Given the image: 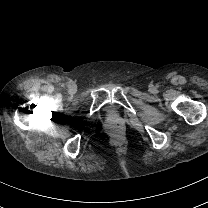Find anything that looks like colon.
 <instances>
[{"instance_id":"5ec220e1","label":"colon","mask_w":208,"mask_h":208,"mask_svg":"<svg viewBox=\"0 0 208 208\" xmlns=\"http://www.w3.org/2000/svg\"><path fill=\"white\" fill-rule=\"evenodd\" d=\"M114 137H115V138H118V137H119V134H118V133H115V134H114Z\"/></svg>"}]
</instances>
